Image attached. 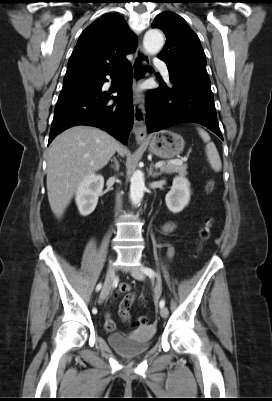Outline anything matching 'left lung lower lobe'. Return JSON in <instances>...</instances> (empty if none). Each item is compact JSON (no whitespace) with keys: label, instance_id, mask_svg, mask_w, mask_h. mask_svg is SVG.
I'll return each mask as SVG.
<instances>
[{"label":"left lung lower lobe","instance_id":"left-lung-lower-lobe-1","mask_svg":"<svg viewBox=\"0 0 272 401\" xmlns=\"http://www.w3.org/2000/svg\"><path fill=\"white\" fill-rule=\"evenodd\" d=\"M146 124L149 132H156L182 122L199 123L222 140L216 117L210 83L170 74V85L146 95Z\"/></svg>","mask_w":272,"mask_h":401}]
</instances>
